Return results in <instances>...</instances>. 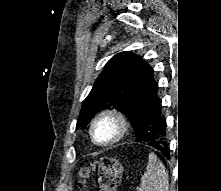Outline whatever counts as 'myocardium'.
<instances>
[{"instance_id":"obj_1","label":"myocardium","mask_w":221,"mask_h":191,"mask_svg":"<svg viewBox=\"0 0 221 191\" xmlns=\"http://www.w3.org/2000/svg\"><path fill=\"white\" fill-rule=\"evenodd\" d=\"M105 120L112 121L116 126L115 134L105 142H99L95 138V128L99 123ZM129 123L126 116L116 109H106L99 112L92 120L89 128V134L93 143L98 146L107 147L121 141L128 132Z\"/></svg>"}]
</instances>
